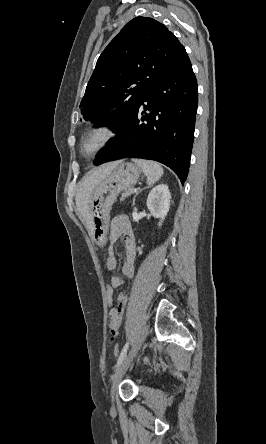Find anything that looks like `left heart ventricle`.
<instances>
[{"label":"left heart ventricle","instance_id":"obj_1","mask_svg":"<svg viewBox=\"0 0 266 444\" xmlns=\"http://www.w3.org/2000/svg\"><path fill=\"white\" fill-rule=\"evenodd\" d=\"M99 142V138H92L87 142V150L91 151Z\"/></svg>","mask_w":266,"mask_h":444}]
</instances>
